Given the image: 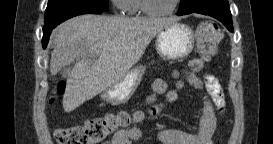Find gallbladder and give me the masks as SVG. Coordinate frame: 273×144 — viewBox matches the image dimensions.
<instances>
[{
  "label": "gallbladder",
  "instance_id": "gallbladder-1",
  "mask_svg": "<svg viewBox=\"0 0 273 144\" xmlns=\"http://www.w3.org/2000/svg\"><path fill=\"white\" fill-rule=\"evenodd\" d=\"M72 65H67V67L65 68V70L64 71H62L61 72V75L63 76L62 78H63V80H68V73H70V71L72 70Z\"/></svg>",
  "mask_w": 273,
  "mask_h": 144
}]
</instances>
